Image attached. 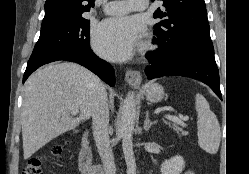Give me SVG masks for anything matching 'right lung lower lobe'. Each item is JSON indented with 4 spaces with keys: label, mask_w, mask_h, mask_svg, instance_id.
I'll return each mask as SVG.
<instances>
[{
    "label": "right lung lower lobe",
    "mask_w": 249,
    "mask_h": 174,
    "mask_svg": "<svg viewBox=\"0 0 249 174\" xmlns=\"http://www.w3.org/2000/svg\"><path fill=\"white\" fill-rule=\"evenodd\" d=\"M57 60H66L83 65L97 74L110 86L115 85V72L113 68L96 56L91 49L81 51H48L32 57L28 61L23 82L40 66Z\"/></svg>",
    "instance_id": "98d812e1"
}]
</instances>
